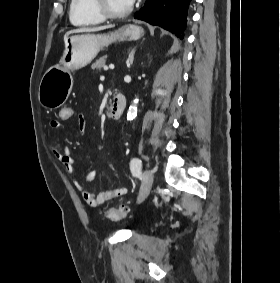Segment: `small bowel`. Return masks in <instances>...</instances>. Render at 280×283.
Wrapping results in <instances>:
<instances>
[{
	"mask_svg": "<svg viewBox=\"0 0 280 283\" xmlns=\"http://www.w3.org/2000/svg\"><path fill=\"white\" fill-rule=\"evenodd\" d=\"M74 114L75 112H73V116ZM76 119L80 130L84 131L87 124L85 116L83 114H77ZM60 126H61L60 119L51 120L50 127L52 129H59ZM53 155L61 163L65 171L73 177V181L76 188L81 192L84 201L89 207L97 208L103 203L112 200L116 197L123 196L127 193V189L124 187L108 189V190L100 191L98 193H94L91 190L85 189L81 183V180L76 177L75 159L72 155L71 149L69 147H65L63 149L54 147ZM95 177H96V172L89 171L83 176V180L87 182H93L95 180Z\"/></svg>",
	"mask_w": 280,
	"mask_h": 283,
	"instance_id": "small-bowel-1",
	"label": "small bowel"
}]
</instances>
